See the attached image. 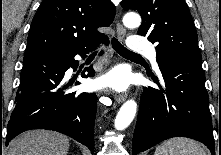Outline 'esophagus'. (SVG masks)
I'll list each match as a JSON object with an SVG mask.
<instances>
[{"label":"esophagus","instance_id":"1","mask_svg":"<svg viewBox=\"0 0 221 155\" xmlns=\"http://www.w3.org/2000/svg\"><path fill=\"white\" fill-rule=\"evenodd\" d=\"M116 32H117L118 38L121 41L124 40L125 35H126V29L123 27V25L120 22H117V24H116ZM114 99L116 102L122 103L125 101L126 95L125 94H115Z\"/></svg>","mask_w":221,"mask_h":155}]
</instances>
